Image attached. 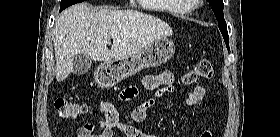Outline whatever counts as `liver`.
I'll return each mask as SVG.
<instances>
[{
	"instance_id": "6515ba94",
	"label": "liver",
	"mask_w": 280,
	"mask_h": 137,
	"mask_svg": "<svg viewBox=\"0 0 280 137\" xmlns=\"http://www.w3.org/2000/svg\"><path fill=\"white\" fill-rule=\"evenodd\" d=\"M172 34L167 23L138 11L93 10L86 3L73 5L65 9L55 22L56 80L61 82L68 77L78 55L104 62L126 58ZM110 40L113 44L108 49Z\"/></svg>"
}]
</instances>
